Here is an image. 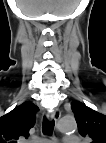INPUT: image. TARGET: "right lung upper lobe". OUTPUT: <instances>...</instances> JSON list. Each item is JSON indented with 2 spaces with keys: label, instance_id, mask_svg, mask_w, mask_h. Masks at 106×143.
<instances>
[{
  "label": "right lung upper lobe",
  "instance_id": "1",
  "mask_svg": "<svg viewBox=\"0 0 106 143\" xmlns=\"http://www.w3.org/2000/svg\"><path fill=\"white\" fill-rule=\"evenodd\" d=\"M37 111L33 103L24 102L0 117V143H17L19 138H27Z\"/></svg>",
  "mask_w": 106,
  "mask_h": 143
}]
</instances>
